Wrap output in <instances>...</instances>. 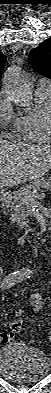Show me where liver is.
<instances>
[{"instance_id":"obj_1","label":"liver","mask_w":51,"mask_h":393,"mask_svg":"<svg viewBox=\"0 0 51 393\" xmlns=\"http://www.w3.org/2000/svg\"><path fill=\"white\" fill-rule=\"evenodd\" d=\"M51 168V146L0 140V187L36 180Z\"/></svg>"}]
</instances>
